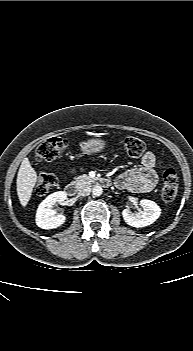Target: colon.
<instances>
[{
  "instance_id": "1",
  "label": "colon",
  "mask_w": 193,
  "mask_h": 351,
  "mask_svg": "<svg viewBox=\"0 0 193 351\" xmlns=\"http://www.w3.org/2000/svg\"><path fill=\"white\" fill-rule=\"evenodd\" d=\"M121 145L131 157L141 156L146 149L144 141L136 137H126L121 140ZM68 148V140L55 136L40 142L36 148V156L41 161H51L61 156ZM56 177L45 173L39 176L35 192L39 196L48 194L56 185ZM179 177L175 169L167 168L162 177L161 197L165 202L175 199L178 192Z\"/></svg>"
}]
</instances>
